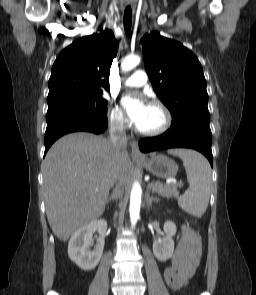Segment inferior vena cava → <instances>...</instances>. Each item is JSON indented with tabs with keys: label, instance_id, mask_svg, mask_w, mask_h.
<instances>
[{
	"label": "inferior vena cava",
	"instance_id": "602c4592",
	"mask_svg": "<svg viewBox=\"0 0 256 295\" xmlns=\"http://www.w3.org/2000/svg\"><path fill=\"white\" fill-rule=\"evenodd\" d=\"M109 141L112 144L113 147V154L115 157V164H112V182L111 186L115 184L114 191L116 192V199L120 197L122 194L121 189V182L119 180V177H121V172L119 171V164H120V153L122 150H125L127 145V137L125 133V126L120 121V119H115L111 121L110 123V129H109Z\"/></svg>",
	"mask_w": 256,
	"mask_h": 295
}]
</instances>
